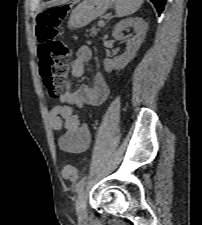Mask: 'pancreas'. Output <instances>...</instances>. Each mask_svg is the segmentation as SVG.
Instances as JSON below:
<instances>
[{"instance_id":"pancreas-1","label":"pancreas","mask_w":202,"mask_h":225,"mask_svg":"<svg viewBox=\"0 0 202 225\" xmlns=\"http://www.w3.org/2000/svg\"><path fill=\"white\" fill-rule=\"evenodd\" d=\"M98 31H99V29H97L95 26H93L91 29H90V35L92 36V37H95L97 34H98Z\"/></svg>"}]
</instances>
